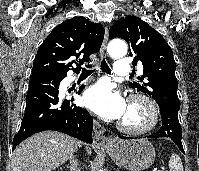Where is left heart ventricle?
Masks as SVG:
<instances>
[{"label":"left heart ventricle","mask_w":199,"mask_h":171,"mask_svg":"<svg viewBox=\"0 0 199 171\" xmlns=\"http://www.w3.org/2000/svg\"><path fill=\"white\" fill-rule=\"evenodd\" d=\"M145 113L143 108L138 104H130L127 106L122 120L131 125H137L144 121ZM121 120V121H122Z\"/></svg>","instance_id":"b2bd125f"}]
</instances>
